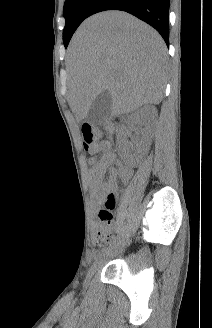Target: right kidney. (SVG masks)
<instances>
[{"label": "right kidney", "mask_w": 212, "mask_h": 328, "mask_svg": "<svg viewBox=\"0 0 212 328\" xmlns=\"http://www.w3.org/2000/svg\"><path fill=\"white\" fill-rule=\"evenodd\" d=\"M157 119V109L152 105H145L135 113L127 117L126 124L129 128L138 125L137 134H141V142L148 141L154 131ZM128 131L124 137L128 135Z\"/></svg>", "instance_id": "obj_1"}]
</instances>
